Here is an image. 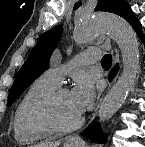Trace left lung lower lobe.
<instances>
[{
    "label": "left lung lower lobe",
    "instance_id": "0a47b994",
    "mask_svg": "<svg viewBox=\"0 0 145 147\" xmlns=\"http://www.w3.org/2000/svg\"><path fill=\"white\" fill-rule=\"evenodd\" d=\"M123 17L134 27L137 33L140 34V23L136 20L130 8L126 10ZM141 39L145 41L143 36H141ZM117 71H118V65H116V67L110 73L109 80H111L115 76ZM83 136L86 138H90L91 142H95V143L105 142V138L102 137L100 126L96 122H92L88 130H86L85 133H83Z\"/></svg>",
    "mask_w": 145,
    "mask_h": 147
}]
</instances>
